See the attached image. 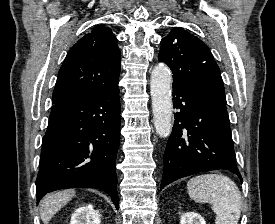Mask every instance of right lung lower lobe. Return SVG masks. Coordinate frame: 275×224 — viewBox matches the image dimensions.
<instances>
[{"label":"right lung lower lobe","mask_w":275,"mask_h":224,"mask_svg":"<svg viewBox=\"0 0 275 224\" xmlns=\"http://www.w3.org/2000/svg\"><path fill=\"white\" fill-rule=\"evenodd\" d=\"M118 85L52 106L42 140L37 201L65 188H97L119 208L115 160L120 144Z\"/></svg>","instance_id":"1"}]
</instances>
